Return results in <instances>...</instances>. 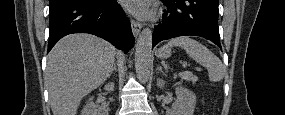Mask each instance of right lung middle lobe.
I'll return each instance as SVG.
<instances>
[{
    "label": "right lung middle lobe",
    "instance_id": "1",
    "mask_svg": "<svg viewBox=\"0 0 285 115\" xmlns=\"http://www.w3.org/2000/svg\"><path fill=\"white\" fill-rule=\"evenodd\" d=\"M58 0H49V3L50 4H53V3H55V2H57ZM95 1H99V0H95Z\"/></svg>",
    "mask_w": 285,
    "mask_h": 115
}]
</instances>
